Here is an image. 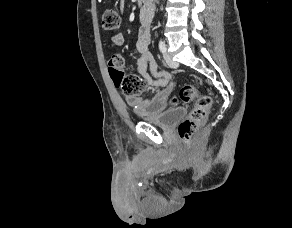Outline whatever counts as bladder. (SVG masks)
<instances>
[{"label": "bladder", "instance_id": "31cf9c89", "mask_svg": "<svg viewBox=\"0 0 292 228\" xmlns=\"http://www.w3.org/2000/svg\"><path fill=\"white\" fill-rule=\"evenodd\" d=\"M186 114V109L184 107H176L165 110L160 114L154 116H144L143 121L162 127L169 128Z\"/></svg>", "mask_w": 292, "mask_h": 228}]
</instances>
